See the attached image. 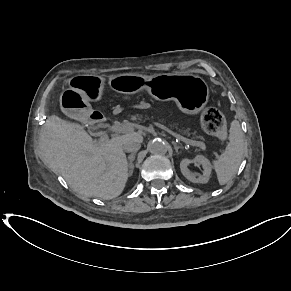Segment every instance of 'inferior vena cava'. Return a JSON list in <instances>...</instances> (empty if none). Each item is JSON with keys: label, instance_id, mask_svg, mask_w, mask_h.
<instances>
[{"label": "inferior vena cava", "instance_id": "602c4592", "mask_svg": "<svg viewBox=\"0 0 291 291\" xmlns=\"http://www.w3.org/2000/svg\"><path fill=\"white\" fill-rule=\"evenodd\" d=\"M141 144L138 141H130L123 144V150L125 152H136L140 149Z\"/></svg>", "mask_w": 291, "mask_h": 291}]
</instances>
